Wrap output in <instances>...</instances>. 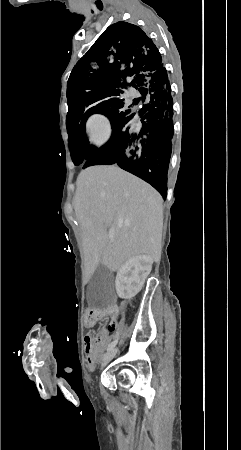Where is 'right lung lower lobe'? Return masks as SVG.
Listing matches in <instances>:
<instances>
[{"label": "right lung lower lobe", "mask_w": 241, "mask_h": 450, "mask_svg": "<svg viewBox=\"0 0 241 450\" xmlns=\"http://www.w3.org/2000/svg\"><path fill=\"white\" fill-rule=\"evenodd\" d=\"M141 100L146 102L138 125L135 119L113 129L110 140L101 148L90 147L85 137V122L74 121L68 134L71 152L84 155L83 168L117 164L152 185L165 199L167 172L172 151L173 99L165 67L141 77Z\"/></svg>", "instance_id": "1"}]
</instances>
